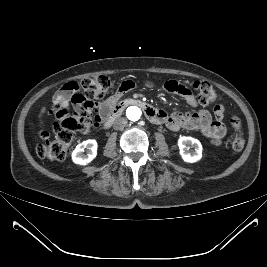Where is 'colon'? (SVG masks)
<instances>
[{"label": "colon", "instance_id": "1", "mask_svg": "<svg viewBox=\"0 0 267 267\" xmlns=\"http://www.w3.org/2000/svg\"><path fill=\"white\" fill-rule=\"evenodd\" d=\"M78 86L81 89V93L78 95L80 100L99 101L108 94L114 83L109 77L99 75L81 80ZM192 88L196 94L197 101L203 106L211 105L220 98L217 91L208 82L195 81L192 84ZM52 114L55 118V136L52 138L47 131H40L36 153L40 158L59 161L69 154L75 141L76 132L85 125L91 124L92 120L72 115L61 107H55ZM230 123L235 130L232 147L234 150L240 151L245 145L241 119L238 116H234L230 119Z\"/></svg>", "mask_w": 267, "mask_h": 267}]
</instances>
